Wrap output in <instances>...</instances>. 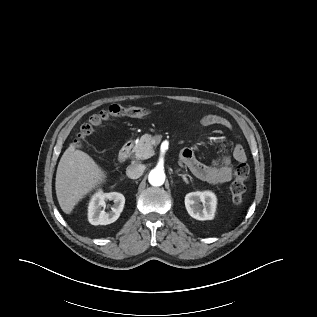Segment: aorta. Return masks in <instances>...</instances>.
<instances>
[{"label": "aorta", "instance_id": "1", "mask_svg": "<svg viewBox=\"0 0 317 317\" xmlns=\"http://www.w3.org/2000/svg\"><path fill=\"white\" fill-rule=\"evenodd\" d=\"M148 181L152 186H161L165 182V173L160 168H154L148 175Z\"/></svg>", "mask_w": 317, "mask_h": 317}]
</instances>
